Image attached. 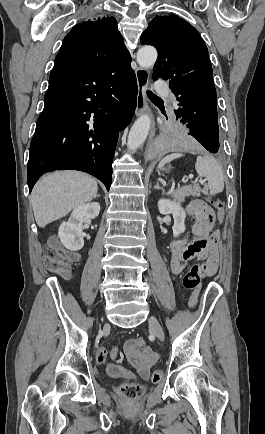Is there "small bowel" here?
I'll return each mask as SVG.
<instances>
[{
    "instance_id": "c3829d8e",
    "label": "small bowel",
    "mask_w": 265,
    "mask_h": 434,
    "mask_svg": "<svg viewBox=\"0 0 265 434\" xmlns=\"http://www.w3.org/2000/svg\"><path fill=\"white\" fill-rule=\"evenodd\" d=\"M187 214L193 221L192 237L175 238L170 243V268L173 274L179 275L193 259L205 261L208 265L201 269L200 277L212 276L217 270L218 251L217 242L219 232L214 230L215 217L209 204L202 199L193 200L187 207ZM200 290L194 291V303H199ZM193 304V307H196ZM125 353L129 362L139 375L148 380L149 366L158 358V354L146 345L143 337L137 336L125 341Z\"/></svg>"
}]
</instances>
